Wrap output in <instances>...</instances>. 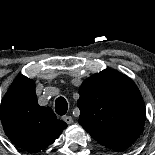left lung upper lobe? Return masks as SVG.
<instances>
[{"label": "left lung upper lobe", "instance_id": "5c2ea615", "mask_svg": "<svg viewBox=\"0 0 155 155\" xmlns=\"http://www.w3.org/2000/svg\"><path fill=\"white\" fill-rule=\"evenodd\" d=\"M79 94V124L100 144L123 151L137 140L145 122V105L130 78L106 69L83 81Z\"/></svg>", "mask_w": 155, "mask_h": 155}]
</instances>
